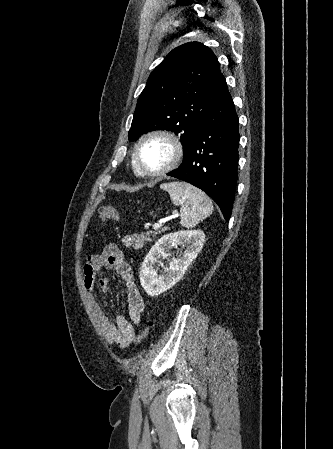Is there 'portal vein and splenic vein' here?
I'll list each match as a JSON object with an SVG mask.
<instances>
[{
    "instance_id": "18ae733b",
    "label": "portal vein and splenic vein",
    "mask_w": 333,
    "mask_h": 449,
    "mask_svg": "<svg viewBox=\"0 0 333 449\" xmlns=\"http://www.w3.org/2000/svg\"><path fill=\"white\" fill-rule=\"evenodd\" d=\"M173 217H175V215H173ZM162 223H164V222H158V223H155V224L153 225V229L156 230V229L160 228V227L162 226Z\"/></svg>"
}]
</instances>
